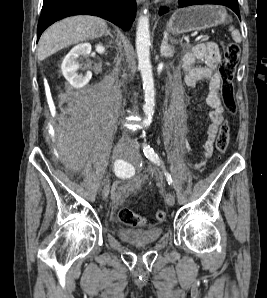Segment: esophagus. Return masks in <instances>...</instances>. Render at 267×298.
<instances>
[{"label":"esophagus","mask_w":267,"mask_h":298,"mask_svg":"<svg viewBox=\"0 0 267 298\" xmlns=\"http://www.w3.org/2000/svg\"><path fill=\"white\" fill-rule=\"evenodd\" d=\"M146 2V0H137V3L138 4H143V3H145Z\"/></svg>","instance_id":"34e87169"}]
</instances>
